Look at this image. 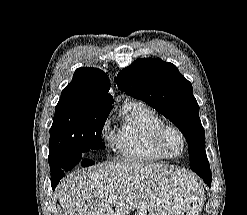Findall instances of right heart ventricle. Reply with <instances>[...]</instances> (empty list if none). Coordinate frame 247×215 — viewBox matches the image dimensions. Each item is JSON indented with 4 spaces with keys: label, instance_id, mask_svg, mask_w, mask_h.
Masks as SVG:
<instances>
[{
    "label": "right heart ventricle",
    "instance_id": "obj_1",
    "mask_svg": "<svg viewBox=\"0 0 247 215\" xmlns=\"http://www.w3.org/2000/svg\"><path fill=\"white\" fill-rule=\"evenodd\" d=\"M163 124V119L143 103H126L121 121L110 135V143L127 161L151 163L164 160L167 157L158 150L155 138Z\"/></svg>",
    "mask_w": 247,
    "mask_h": 215
}]
</instances>
